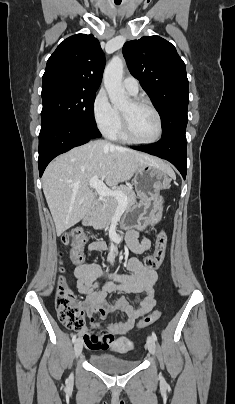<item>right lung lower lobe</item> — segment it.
<instances>
[{"instance_id":"1","label":"right lung lower lobe","mask_w":235,"mask_h":404,"mask_svg":"<svg viewBox=\"0 0 235 404\" xmlns=\"http://www.w3.org/2000/svg\"><path fill=\"white\" fill-rule=\"evenodd\" d=\"M101 137L97 127H88L71 122H53L41 125L39 134V174L42 176L49 162L76 146Z\"/></svg>"}]
</instances>
